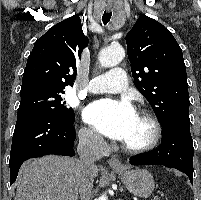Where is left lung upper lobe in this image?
Here are the masks:
<instances>
[{
	"instance_id": "obj_1",
	"label": "left lung upper lobe",
	"mask_w": 201,
	"mask_h": 200,
	"mask_svg": "<svg viewBox=\"0 0 201 200\" xmlns=\"http://www.w3.org/2000/svg\"><path fill=\"white\" fill-rule=\"evenodd\" d=\"M126 44L134 83L161 125L175 116L189 117L186 66L171 32L141 15L126 35Z\"/></svg>"
}]
</instances>
